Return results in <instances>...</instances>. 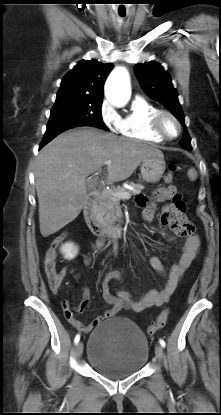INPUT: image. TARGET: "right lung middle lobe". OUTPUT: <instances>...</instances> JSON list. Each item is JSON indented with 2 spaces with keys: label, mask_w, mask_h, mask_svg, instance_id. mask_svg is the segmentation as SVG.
I'll use <instances>...</instances> for the list:
<instances>
[{
  "label": "right lung middle lobe",
  "mask_w": 221,
  "mask_h": 415,
  "mask_svg": "<svg viewBox=\"0 0 221 415\" xmlns=\"http://www.w3.org/2000/svg\"><path fill=\"white\" fill-rule=\"evenodd\" d=\"M102 98L79 95H57L48 126L83 124L108 130L101 116Z\"/></svg>",
  "instance_id": "right-lung-middle-lobe-1"
}]
</instances>
